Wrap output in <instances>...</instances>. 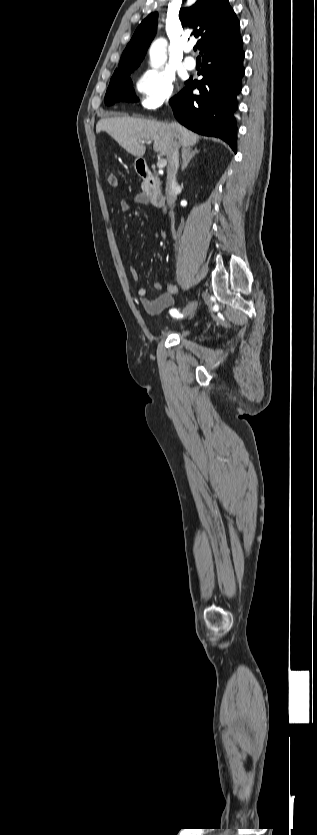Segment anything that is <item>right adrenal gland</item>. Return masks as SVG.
<instances>
[{"mask_svg":"<svg viewBox=\"0 0 317 835\" xmlns=\"http://www.w3.org/2000/svg\"><path fill=\"white\" fill-rule=\"evenodd\" d=\"M198 152H199V150L197 148L192 149L190 147H187V148L182 149V167H181V171L185 170V168L188 166L191 159Z\"/></svg>","mask_w":317,"mask_h":835,"instance_id":"obj_1","label":"right adrenal gland"}]
</instances>
